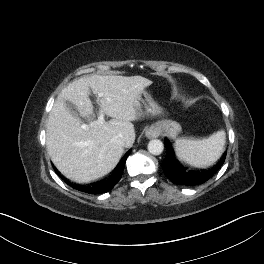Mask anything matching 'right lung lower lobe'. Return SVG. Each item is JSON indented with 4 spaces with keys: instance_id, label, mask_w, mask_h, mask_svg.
Wrapping results in <instances>:
<instances>
[{
    "instance_id": "obj_1",
    "label": "right lung lower lobe",
    "mask_w": 264,
    "mask_h": 264,
    "mask_svg": "<svg viewBox=\"0 0 264 264\" xmlns=\"http://www.w3.org/2000/svg\"><path fill=\"white\" fill-rule=\"evenodd\" d=\"M127 156L128 154L124 157L121 163H119V165L115 168V170L113 171V173L110 175L108 179L102 180L90 186H79V185H74L71 183H68V184L73 186L74 189L82 191V192H86V193L96 194V193L108 192L116 185V183L122 177V173L124 170V165H125Z\"/></svg>"
}]
</instances>
